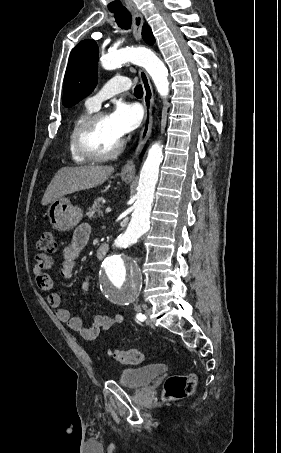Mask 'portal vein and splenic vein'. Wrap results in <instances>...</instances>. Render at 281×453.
<instances>
[{
	"mask_svg": "<svg viewBox=\"0 0 281 453\" xmlns=\"http://www.w3.org/2000/svg\"><path fill=\"white\" fill-rule=\"evenodd\" d=\"M111 210H112V208H109V206H108V208H106V212H108L109 214L113 213Z\"/></svg>",
	"mask_w": 281,
	"mask_h": 453,
	"instance_id": "18ae733b",
	"label": "portal vein and splenic vein"
}]
</instances>
